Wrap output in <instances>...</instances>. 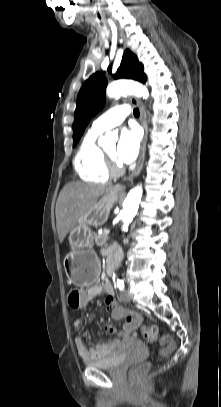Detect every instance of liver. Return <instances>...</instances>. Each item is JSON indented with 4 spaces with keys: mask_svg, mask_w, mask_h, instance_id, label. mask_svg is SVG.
Listing matches in <instances>:
<instances>
[{
    "mask_svg": "<svg viewBox=\"0 0 221 407\" xmlns=\"http://www.w3.org/2000/svg\"><path fill=\"white\" fill-rule=\"evenodd\" d=\"M110 191L103 185L71 182L61 190L56 203V225L59 241L92 210L99 197Z\"/></svg>",
    "mask_w": 221,
    "mask_h": 407,
    "instance_id": "obj_1",
    "label": "liver"
}]
</instances>
